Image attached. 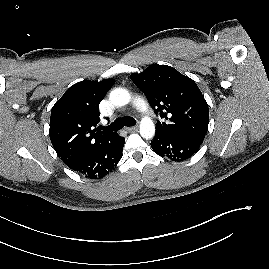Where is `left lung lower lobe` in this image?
<instances>
[{"mask_svg": "<svg viewBox=\"0 0 269 269\" xmlns=\"http://www.w3.org/2000/svg\"><path fill=\"white\" fill-rule=\"evenodd\" d=\"M204 137L201 135H168L156 132L151 147L159 156L180 162L190 158L199 149Z\"/></svg>", "mask_w": 269, "mask_h": 269, "instance_id": "obj_1", "label": "left lung lower lobe"}]
</instances>
